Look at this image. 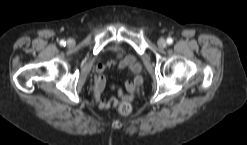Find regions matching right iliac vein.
<instances>
[{"instance_id":"1","label":"right iliac vein","mask_w":247,"mask_h":145,"mask_svg":"<svg viewBox=\"0 0 247 145\" xmlns=\"http://www.w3.org/2000/svg\"><path fill=\"white\" fill-rule=\"evenodd\" d=\"M67 44L71 47V46H74L75 42H74V40L69 39Z\"/></svg>"}]
</instances>
